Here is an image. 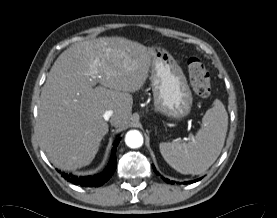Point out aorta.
<instances>
[{"label":"aorta","instance_id":"obj_1","mask_svg":"<svg viewBox=\"0 0 277 218\" xmlns=\"http://www.w3.org/2000/svg\"><path fill=\"white\" fill-rule=\"evenodd\" d=\"M125 143L130 148H139L143 144V136L138 130H130L125 136Z\"/></svg>","mask_w":277,"mask_h":218}]
</instances>
